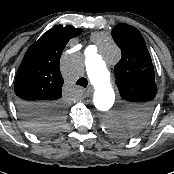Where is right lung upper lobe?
<instances>
[{"label":"right lung upper lobe","mask_w":174,"mask_h":174,"mask_svg":"<svg viewBox=\"0 0 174 174\" xmlns=\"http://www.w3.org/2000/svg\"><path fill=\"white\" fill-rule=\"evenodd\" d=\"M79 34L81 29L57 25L28 48L15 78L17 100L52 105L59 102L64 83L59 69L61 53L67 42ZM38 114L26 121L38 120Z\"/></svg>","instance_id":"cb5924a9"}]
</instances>
